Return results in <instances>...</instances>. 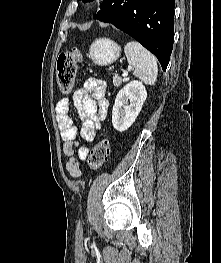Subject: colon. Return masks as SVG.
<instances>
[{"label":"colon","mask_w":221,"mask_h":263,"mask_svg":"<svg viewBox=\"0 0 221 263\" xmlns=\"http://www.w3.org/2000/svg\"><path fill=\"white\" fill-rule=\"evenodd\" d=\"M82 60V54L79 49L73 48L59 55L57 60V85L59 90L69 93L75 82L78 64ZM110 154V143L103 139L95 144L87 157V164L91 169L100 168L108 159Z\"/></svg>","instance_id":"colon-1"}]
</instances>
